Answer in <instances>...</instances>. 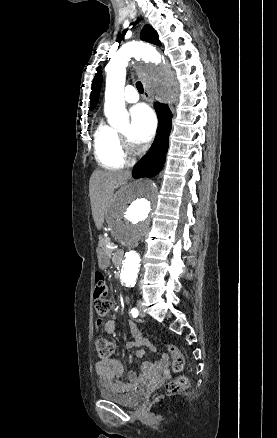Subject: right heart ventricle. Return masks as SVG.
I'll list each match as a JSON object with an SVG mask.
<instances>
[{
	"label": "right heart ventricle",
	"mask_w": 277,
	"mask_h": 438,
	"mask_svg": "<svg viewBox=\"0 0 277 438\" xmlns=\"http://www.w3.org/2000/svg\"><path fill=\"white\" fill-rule=\"evenodd\" d=\"M94 150L98 163L104 168L116 171L123 169L125 155L120 134L103 121L94 134Z\"/></svg>",
	"instance_id": "e07e8e85"
}]
</instances>
